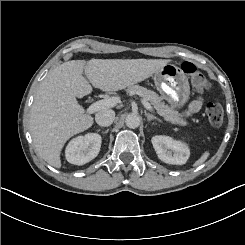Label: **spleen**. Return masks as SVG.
<instances>
[{
	"label": "spleen",
	"mask_w": 245,
	"mask_h": 245,
	"mask_svg": "<svg viewBox=\"0 0 245 245\" xmlns=\"http://www.w3.org/2000/svg\"><path fill=\"white\" fill-rule=\"evenodd\" d=\"M209 156V152H204V154L194 163V166H199L203 164Z\"/></svg>",
	"instance_id": "obj_1"
}]
</instances>
